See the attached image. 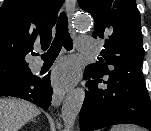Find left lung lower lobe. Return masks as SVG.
<instances>
[{
  "instance_id": "0a47b994",
  "label": "left lung lower lobe",
  "mask_w": 151,
  "mask_h": 131,
  "mask_svg": "<svg viewBox=\"0 0 151 131\" xmlns=\"http://www.w3.org/2000/svg\"><path fill=\"white\" fill-rule=\"evenodd\" d=\"M86 96L80 130L95 131L115 124H136L151 131V104L141 68L101 76L86 67Z\"/></svg>"
}]
</instances>
